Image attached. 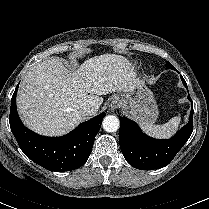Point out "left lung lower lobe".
Segmentation results:
<instances>
[{"label": "left lung lower lobe", "instance_id": "obj_1", "mask_svg": "<svg viewBox=\"0 0 209 209\" xmlns=\"http://www.w3.org/2000/svg\"><path fill=\"white\" fill-rule=\"evenodd\" d=\"M181 80L187 88V84L182 75ZM188 99L192 103L190 95H188ZM192 131L193 108L190 112L188 124L184 126L175 136L165 140L148 137L142 133L134 121L121 117L119 130L120 148L126 161L131 166L141 170L158 169L171 162L177 152L188 141Z\"/></svg>", "mask_w": 209, "mask_h": 209}]
</instances>
